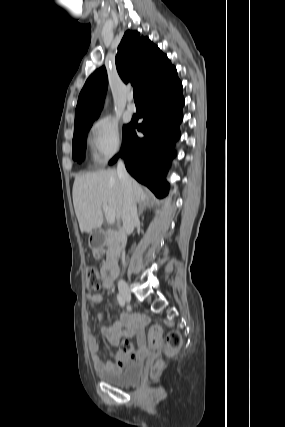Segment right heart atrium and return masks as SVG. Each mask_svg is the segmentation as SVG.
Here are the masks:
<instances>
[{
	"label": "right heart atrium",
	"instance_id": "right-heart-atrium-1",
	"mask_svg": "<svg viewBox=\"0 0 285 427\" xmlns=\"http://www.w3.org/2000/svg\"><path fill=\"white\" fill-rule=\"evenodd\" d=\"M89 144L97 162L110 161L123 146L119 123L110 117L96 120L90 128Z\"/></svg>",
	"mask_w": 285,
	"mask_h": 427
}]
</instances>
